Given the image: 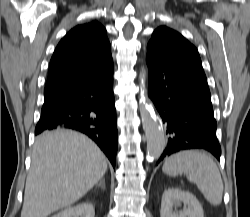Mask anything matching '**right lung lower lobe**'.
I'll use <instances>...</instances> for the list:
<instances>
[{"mask_svg":"<svg viewBox=\"0 0 250 217\" xmlns=\"http://www.w3.org/2000/svg\"><path fill=\"white\" fill-rule=\"evenodd\" d=\"M64 128L88 135L115 167L117 122L113 64L93 78L44 95L35 135Z\"/></svg>","mask_w":250,"mask_h":217,"instance_id":"1","label":"right lung lower lobe"}]
</instances>
